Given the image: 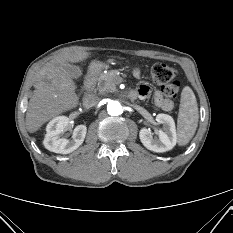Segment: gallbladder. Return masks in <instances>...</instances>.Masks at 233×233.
<instances>
[{"label": "gallbladder", "instance_id": "gallbladder-1", "mask_svg": "<svg viewBox=\"0 0 233 233\" xmlns=\"http://www.w3.org/2000/svg\"><path fill=\"white\" fill-rule=\"evenodd\" d=\"M66 72L73 78H78L81 76L82 71L80 67L75 66V65H66L64 66Z\"/></svg>", "mask_w": 233, "mask_h": 233}]
</instances>
